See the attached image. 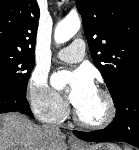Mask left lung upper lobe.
Masks as SVG:
<instances>
[{"mask_svg":"<svg viewBox=\"0 0 139 150\" xmlns=\"http://www.w3.org/2000/svg\"><path fill=\"white\" fill-rule=\"evenodd\" d=\"M90 52L113 101L139 76V1L76 0Z\"/></svg>","mask_w":139,"mask_h":150,"instance_id":"5c2ea615","label":"left lung upper lobe"}]
</instances>
